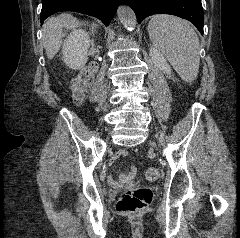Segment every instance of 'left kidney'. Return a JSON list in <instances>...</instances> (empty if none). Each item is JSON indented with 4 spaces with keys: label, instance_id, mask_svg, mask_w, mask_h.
<instances>
[{
    "label": "left kidney",
    "instance_id": "1",
    "mask_svg": "<svg viewBox=\"0 0 240 238\" xmlns=\"http://www.w3.org/2000/svg\"><path fill=\"white\" fill-rule=\"evenodd\" d=\"M150 57L153 61V63L164 73L170 74L171 73V67L167 63L166 58L164 55L156 48V47H151L150 49Z\"/></svg>",
    "mask_w": 240,
    "mask_h": 238
}]
</instances>
